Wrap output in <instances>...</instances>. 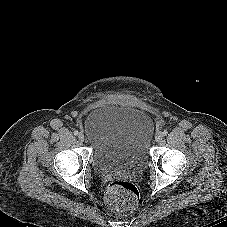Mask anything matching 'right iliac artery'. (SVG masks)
<instances>
[{"label": "right iliac artery", "mask_w": 227, "mask_h": 227, "mask_svg": "<svg viewBox=\"0 0 227 227\" xmlns=\"http://www.w3.org/2000/svg\"><path fill=\"white\" fill-rule=\"evenodd\" d=\"M73 133H74V135H78L79 134V132L77 130H75Z\"/></svg>", "instance_id": "1"}]
</instances>
